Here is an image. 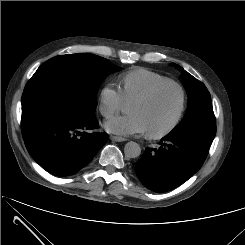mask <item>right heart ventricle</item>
<instances>
[{"mask_svg":"<svg viewBox=\"0 0 245 245\" xmlns=\"http://www.w3.org/2000/svg\"><path fill=\"white\" fill-rule=\"evenodd\" d=\"M173 82L170 78L144 68L130 70L121 77V93L125 102H130L152 87Z\"/></svg>","mask_w":245,"mask_h":245,"instance_id":"e07e8e85","label":"right heart ventricle"}]
</instances>
